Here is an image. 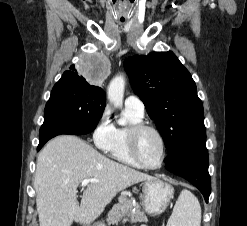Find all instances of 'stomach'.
<instances>
[{
	"mask_svg": "<svg viewBox=\"0 0 247 226\" xmlns=\"http://www.w3.org/2000/svg\"><path fill=\"white\" fill-rule=\"evenodd\" d=\"M142 204L146 213L152 216L162 214L174 195V188L160 178L147 179L142 184ZM94 226H103L96 224Z\"/></svg>",
	"mask_w": 247,
	"mask_h": 226,
	"instance_id": "1",
	"label": "stomach"
}]
</instances>
